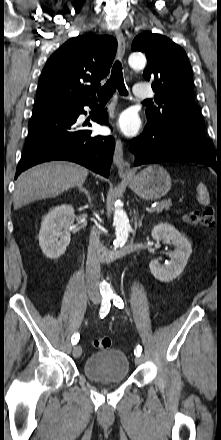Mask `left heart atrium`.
I'll use <instances>...</instances> for the list:
<instances>
[{"label":"left heart atrium","mask_w":221,"mask_h":440,"mask_svg":"<svg viewBox=\"0 0 221 440\" xmlns=\"http://www.w3.org/2000/svg\"><path fill=\"white\" fill-rule=\"evenodd\" d=\"M118 126L125 134L134 135L139 128L138 118L132 112H125L120 116Z\"/></svg>","instance_id":"1"}]
</instances>
